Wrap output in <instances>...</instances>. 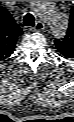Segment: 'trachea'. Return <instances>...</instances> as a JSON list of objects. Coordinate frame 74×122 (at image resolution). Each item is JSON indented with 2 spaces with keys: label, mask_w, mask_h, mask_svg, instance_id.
Listing matches in <instances>:
<instances>
[{
  "label": "trachea",
  "mask_w": 74,
  "mask_h": 122,
  "mask_svg": "<svg viewBox=\"0 0 74 122\" xmlns=\"http://www.w3.org/2000/svg\"><path fill=\"white\" fill-rule=\"evenodd\" d=\"M23 23L25 26L34 27L35 26V18L31 13H27L24 16Z\"/></svg>",
  "instance_id": "3493384b"
}]
</instances>
